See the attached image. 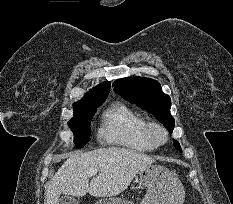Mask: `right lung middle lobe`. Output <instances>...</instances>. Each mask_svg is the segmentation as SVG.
I'll list each match as a JSON object with an SVG mask.
<instances>
[{
    "mask_svg": "<svg viewBox=\"0 0 233 204\" xmlns=\"http://www.w3.org/2000/svg\"><path fill=\"white\" fill-rule=\"evenodd\" d=\"M103 102L91 105L83 109H74V116L69 120L68 125L74 133L75 148H81L90 141V120L96 108Z\"/></svg>",
    "mask_w": 233,
    "mask_h": 204,
    "instance_id": "1",
    "label": "right lung middle lobe"
}]
</instances>
